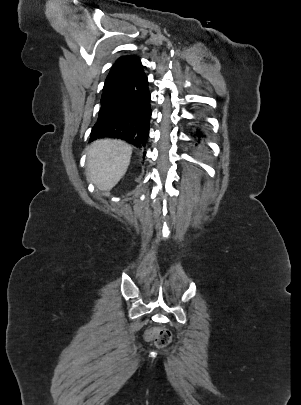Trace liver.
Segmentation results:
<instances>
[{
    "instance_id": "obj_1",
    "label": "liver",
    "mask_w": 301,
    "mask_h": 405,
    "mask_svg": "<svg viewBox=\"0 0 301 405\" xmlns=\"http://www.w3.org/2000/svg\"><path fill=\"white\" fill-rule=\"evenodd\" d=\"M132 147L120 140H97L88 150L87 172L90 181L101 191L111 190L124 176Z\"/></svg>"
}]
</instances>
